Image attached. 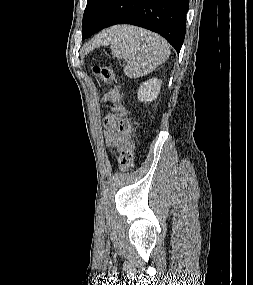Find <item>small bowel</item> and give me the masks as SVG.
I'll return each instance as SVG.
<instances>
[{"instance_id": "small-bowel-1", "label": "small bowel", "mask_w": 253, "mask_h": 285, "mask_svg": "<svg viewBox=\"0 0 253 285\" xmlns=\"http://www.w3.org/2000/svg\"><path fill=\"white\" fill-rule=\"evenodd\" d=\"M120 94L116 90L109 91L104 97V101H116ZM106 141L110 147L121 148L126 142L129 133L130 123L118 118L113 113L104 116Z\"/></svg>"}]
</instances>
